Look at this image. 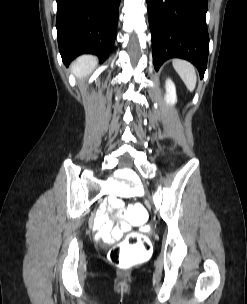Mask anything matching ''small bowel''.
<instances>
[{
  "label": "small bowel",
  "instance_id": "1",
  "mask_svg": "<svg viewBox=\"0 0 247 304\" xmlns=\"http://www.w3.org/2000/svg\"><path fill=\"white\" fill-rule=\"evenodd\" d=\"M109 205L119 206L120 201L116 198H110ZM107 205L100 208L95 220L94 229L97 230V237L100 239H108V242L118 239L122 236L123 232L130 228V225H120V227H114L113 221L107 217Z\"/></svg>",
  "mask_w": 247,
  "mask_h": 304
}]
</instances>
